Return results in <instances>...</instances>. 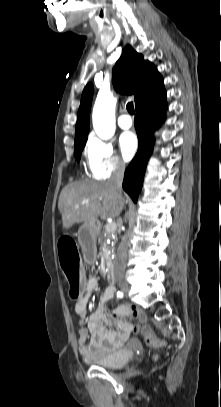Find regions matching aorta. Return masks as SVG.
Returning a JSON list of instances; mask_svg holds the SVG:
<instances>
[{
    "instance_id": "aorta-1",
    "label": "aorta",
    "mask_w": 221,
    "mask_h": 407,
    "mask_svg": "<svg viewBox=\"0 0 221 407\" xmlns=\"http://www.w3.org/2000/svg\"><path fill=\"white\" fill-rule=\"evenodd\" d=\"M116 100L111 92H100L93 108L92 120L96 134L103 140L115 133Z\"/></svg>"
}]
</instances>
